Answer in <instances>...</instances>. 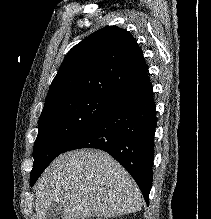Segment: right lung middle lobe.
<instances>
[{
    "label": "right lung middle lobe",
    "mask_w": 211,
    "mask_h": 219,
    "mask_svg": "<svg viewBox=\"0 0 211 219\" xmlns=\"http://www.w3.org/2000/svg\"><path fill=\"white\" fill-rule=\"evenodd\" d=\"M115 105L98 97H81L45 108L38 122L30 184L36 182L49 163L63 153L72 141Z\"/></svg>",
    "instance_id": "dd1d6c3e"
}]
</instances>
